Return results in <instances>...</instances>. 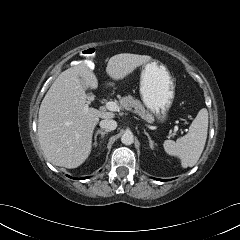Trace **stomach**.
Segmentation results:
<instances>
[{"mask_svg": "<svg viewBox=\"0 0 240 240\" xmlns=\"http://www.w3.org/2000/svg\"><path fill=\"white\" fill-rule=\"evenodd\" d=\"M140 95L147 109L165 121L175 96L174 80L167 67L158 60L143 66Z\"/></svg>", "mask_w": 240, "mask_h": 240, "instance_id": "1", "label": "stomach"}]
</instances>
